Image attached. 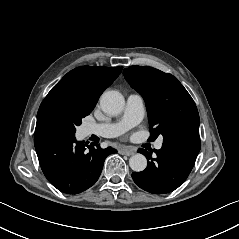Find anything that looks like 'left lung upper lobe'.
Returning <instances> with one entry per match:
<instances>
[{"label":"left lung upper lobe","instance_id":"1","mask_svg":"<svg viewBox=\"0 0 239 239\" xmlns=\"http://www.w3.org/2000/svg\"><path fill=\"white\" fill-rule=\"evenodd\" d=\"M124 76L144 98L151 138L180 133L199 134L197 107L183 85L171 74L152 67L130 66Z\"/></svg>","mask_w":239,"mask_h":239}]
</instances>
